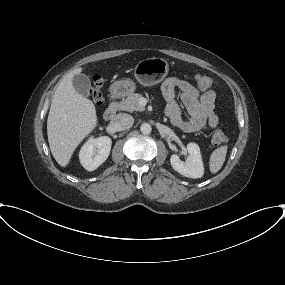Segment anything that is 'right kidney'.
I'll list each match as a JSON object with an SVG mask.
<instances>
[{
  "instance_id": "ca27d5eb",
  "label": "right kidney",
  "mask_w": 285,
  "mask_h": 285,
  "mask_svg": "<svg viewBox=\"0 0 285 285\" xmlns=\"http://www.w3.org/2000/svg\"><path fill=\"white\" fill-rule=\"evenodd\" d=\"M112 141L108 136L90 138L79 153L80 163L87 171H94L108 158Z\"/></svg>"
}]
</instances>
